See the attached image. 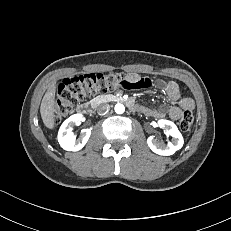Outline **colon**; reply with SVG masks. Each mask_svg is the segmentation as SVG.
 Wrapping results in <instances>:
<instances>
[{"instance_id":"colon-1","label":"colon","mask_w":231,"mask_h":231,"mask_svg":"<svg viewBox=\"0 0 231 231\" xmlns=\"http://www.w3.org/2000/svg\"><path fill=\"white\" fill-rule=\"evenodd\" d=\"M151 85V80L142 77L132 81L128 75L116 72L89 73L72 78H66L59 85L56 92L55 120L60 121L87 98L104 94L116 89H143ZM193 124V115L190 111L183 113L179 121L182 131H188Z\"/></svg>"}]
</instances>
